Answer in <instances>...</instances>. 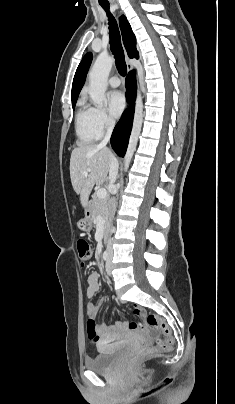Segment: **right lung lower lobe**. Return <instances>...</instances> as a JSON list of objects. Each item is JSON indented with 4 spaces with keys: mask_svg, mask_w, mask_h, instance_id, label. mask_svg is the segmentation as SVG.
Wrapping results in <instances>:
<instances>
[{
    "mask_svg": "<svg viewBox=\"0 0 235 404\" xmlns=\"http://www.w3.org/2000/svg\"><path fill=\"white\" fill-rule=\"evenodd\" d=\"M127 99L134 102L136 95V78L134 71H131L126 78ZM134 110H126L115 126L111 137V145L118 156L125 155L129 136L133 123Z\"/></svg>",
    "mask_w": 235,
    "mask_h": 404,
    "instance_id": "obj_1",
    "label": "right lung lower lobe"
}]
</instances>
